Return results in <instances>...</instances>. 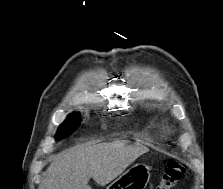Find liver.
I'll return each mask as SVG.
<instances>
[{"instance_id": "1", "label": "liver", "mask_w": 223, "mask_h": 189, "mask_svg": "<svg viewBox=\"0 0 223 189\" xmlns=\"http://www.w3.org/2000/svg\"><path fill=\"white\" fill-rule=\"evenodd\" d=\"M147 151L142 145L125 146L120 141L75 146L54 158L40 189H92L90 178L105 186Z\"/></svg>"}]
</instances>
